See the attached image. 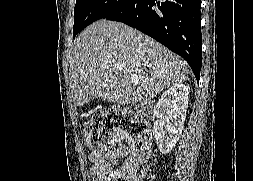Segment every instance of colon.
Returning <instances> with one entry per match:
<instances>
[{
	"mask_svg": "<svg viewBox=\"0 0 253 181\" xmlns=\"http://www.w3.org/2000/svg\"><path fill=\"white\" fill-rule=\"evenodd\" d=\"M84 135L93 151H102L124 139L131 141L134 157L111 177V181H141L144 160L152 143V133L145 119L121 110L98 112L85 126Z\"/></svg>",
	"mask_w": 253,
	"mask_h": 181,
	"instance_id": "1",
	"label": "colon"
}]
</instances>
